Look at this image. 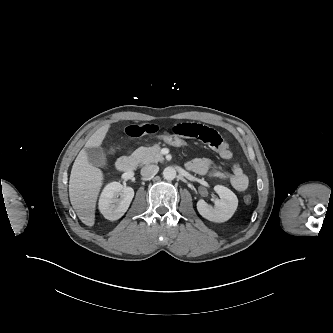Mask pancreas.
I'll list each match as a JSON object with an SVG mask.
<instances>
[{
    "label": "pancreas",
    "mask_w": 333,
    "mask_h": 333,
    "mask_svg": "<svg viewBox=\"0 0 333 333\" xmlns=\"http://www.w3.org/2000/svg\"><path fill=\"white\" fill-rule=\"evenodd\" d=\"M158 145L151 147H140L132 154V158L140 165L163 162L164 157L160 152Z\"/></svg>",
    "instance_id": "1"
}]
</instances>
